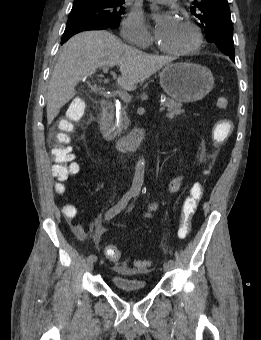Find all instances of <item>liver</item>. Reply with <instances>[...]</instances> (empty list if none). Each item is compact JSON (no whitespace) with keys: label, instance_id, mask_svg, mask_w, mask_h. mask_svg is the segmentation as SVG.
<instances>
[{"label":"liver","instance_id":"obj_1","mask_svg":"<svg viewBox=\"0 0 261 340\" xmlns=\"http://www.w3.org/2000/svg\"><path fill=\"white\" fill-rule=\"evenodd\" d=\"M171 60L125 45L107 31H86L73 36L64 44L49 82L48 125L75 96L79 81L95 73L98 68L117 65L121 72L117 83L130 91Z\"/></svg>","mask_w":261,"mask_h":340}]
</instances>
